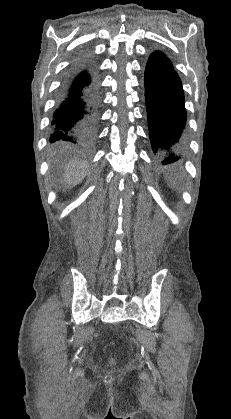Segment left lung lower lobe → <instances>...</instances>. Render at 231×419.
I'll list each match as a JSON object with an SVG mask.
<instances>
[{
    "mask_svg": "<svg viewBox=\"0 0 231 419\" xmlns=\"http://www.w3.org/2000/svg\"><path fill=\"white\" fill-rule=\"evenodd\" d=\"M145 101L154 153L163 164L182 157L186 147V110L181 80L168 57L153 52L145 68Z\"/></svg>",
    "mask_w": 231,
    "mask_h": 419,
    "instance_id": "obj_1",
    "label": "left lung lower lobe"
}]
</instances>
